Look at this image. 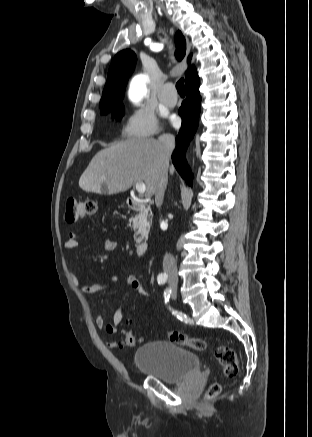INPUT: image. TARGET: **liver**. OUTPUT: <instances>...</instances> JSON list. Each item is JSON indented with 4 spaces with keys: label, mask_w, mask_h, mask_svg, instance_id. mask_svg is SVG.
<instances>
[{
    "label": "liver",
    "mask_w": 312,
    "mask_h": 437,
    "mask_svg": "<svg viewBox=\"0 0 312 437\" xmlns=\"http://www.w3.org/2000/svg\"><path fill=\"white\" fill-rule=\"evenodd\" d=\"M168 169L174 174L169 161L161 158L158 140L131 138L99 151L81 175L79 186L86 192L116 194L142 181L146 185L145 196L150 198L156 192L161 172Z\"/></svg>",
    "instance_id": "6515ba94"
}]
</instances>
